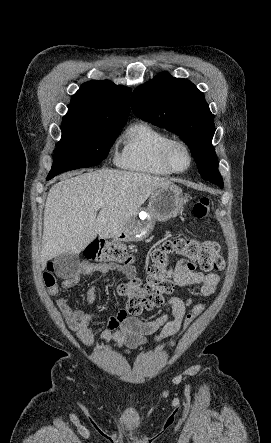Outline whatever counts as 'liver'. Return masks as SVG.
<instances>
[{"instance_id":"6515ba94","label":"liver","mask_w":271,"mask_h":443,"mask_svg":"<svg viewBox=\"0 0 271 443\" xmlns=\"http://www.w3.org/2000/svg\"><path fill=\"white\" fill-rule=\"evenodd\" d=\"M60 178L50 188L44 208L41 269L52 257L81 253L97 235L114 237L152 192L172 184L151 174L109 168L81 176L71 172ZM97 202L103 204L98 216L93 208Z\"/></svg>"}]
</instances>
